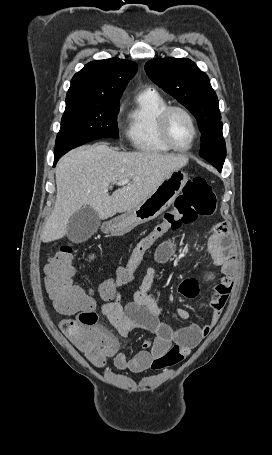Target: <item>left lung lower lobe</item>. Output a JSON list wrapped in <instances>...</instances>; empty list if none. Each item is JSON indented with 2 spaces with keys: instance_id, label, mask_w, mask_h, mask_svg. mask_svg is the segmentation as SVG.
<instances>
[{
  "instance_id": "0a47b994",
  "label": "left lung lower lobe",
  "mask_w": 272,
  "mask_h": 455,
  "mask_svg": "<svg viewBox=\"0 0 272 455\" xmlns=\"http://www.w3.org/2000/svg\"><path fill=\"white\" fill-rule=\"evenodd\" d=\"M225 158H214V159H209L208 162L211 163L214 167L218 169V171H221L223 164H224Z\"/></svg>"
}]
</instances>
